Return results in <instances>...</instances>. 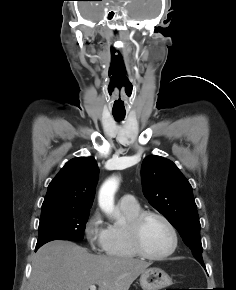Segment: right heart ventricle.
Listing matches in <instances>:
<instances>
[{
  "mask_svg": "<svg viewBox=\"0 0 236 290\" xmlns=\"http://www.w3.org/2000/svg\"><path fill=\"white\" fill-rule=\"evenodd\" d=\"M119 209L125 219L123 224H113L107 227L103 250L107 256L123 259H131L137 256L128 235L129 221L137 215L141 208L139 204L134 206L119 204Z\"/></svg>",
  "mask_w": 236,
  "mask_h": 290,
  "instance_id": "obj_1",
  "label": "right heart ventricle"
}]
</instances>
